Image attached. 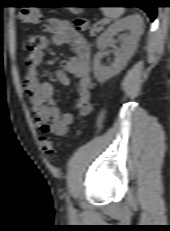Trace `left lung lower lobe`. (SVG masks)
Returning <instances> with one entry per match:
<instances>
[{
	"instance_id": "1",
	"label": "left lung lower lobe",
	"mask_w": 170,
	"mask_h": 231,
	"mask_svg": "<svg viewBox=\"0 0 170 231\" xmlns=\"http://www.w3.org/2000/svg\"><path fill=\"white\" fill-rule=\"evenodd\" d=\"M133 3L138 4L137 7L142 8L150 17L151 21L155 19L156 16V6L153 0H134Z\"/></svg>"
}]
</instances>
